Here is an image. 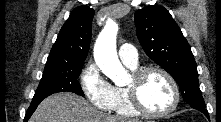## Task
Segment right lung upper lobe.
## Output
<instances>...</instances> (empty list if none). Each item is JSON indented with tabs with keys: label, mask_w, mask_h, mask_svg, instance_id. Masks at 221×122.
Instances as JSON below:
<instances>
[{
	"label": "right lung upper lobe",
	"mask_w": 221,
	"mask_h": 122,
	"mask_svg": "<svg viewBox=\"0 0 221 122\" xmlns=\"http://www.w3.org/2000/svg\"><path fill=\"white\" fill-rule=\"evenodd\" d=\"M94 10L81 6L72 11L62 26L47 63L84 62L91 41Z\"/></svg>",
	"instance_id": "obj_1"
}]
</instances>
